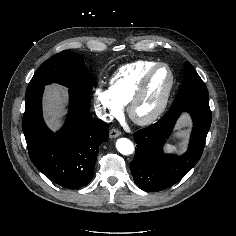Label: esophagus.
<instances>
[{
	"label": "esophagus",
	"mask_w": 236,
	"mask_h": 236,
	"mask_svg": "<svg viewBox=\"0 0 236 236\" xmlns=\"http://www.w3.org/2000/svg\"><path fill=\"white\" fill-rule=\"evenodd\" d=\"M121 135V132L116 129V128H112L110 131H109V137L110 138H116V137H119Z\"/></svg>",
	"instance_id": "34e87169"
}]
</instances>
